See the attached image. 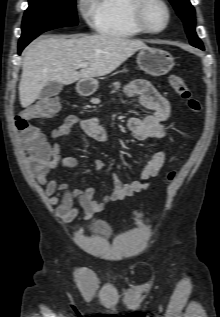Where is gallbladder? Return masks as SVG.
Listing matches in <instances>:
<instances>
[{
    "label": "gallbladder",
    "mask_w": 220,
    "mask_h": 317,
    "mask_svg": "<svg viewBox=\"0 0 220 317\" xmlns=\"http://www.w3.org/2000/svg\"><path fill=\"white\" fill-rule=\"evenodd\" d=\"M63 90V84L55 81L48 82L39 94L40 99H47L58 95Z\"/></svg>",
    "instance_id": "bac80fb5"
}]
</instances>
